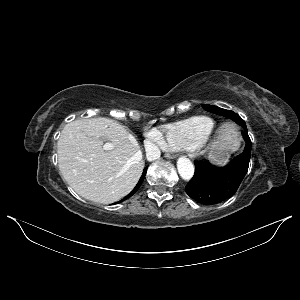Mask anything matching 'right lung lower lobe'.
Instances as JSON below:
<instances>
[{"label": "right lung lower lobe", "mask_w": 300, "mask_h": 300, "mask_svg": "<svg viewBox=\"0 0 300 300\" xmlns=\"http://www.w3.org/2000/svg\"><path fill=\"white\" fill-rule=\"evenodd\" d=\"M146 170H147V167L144 168L143 174H142V176H141L139 182H138L137 185L135 186V188L137 187V190H138V188L141 186V184H142V182H143V180H144V177H145V175H146ZM135 188H134V189H135ZM134 189H133V190H134ZM133 190H132V191H133ZM137 190H136V191H137ZM132 191H131L124 199H127V198L131 197V196L135 193V192L132 193ZM124 199H123V200H124ZM121 201H122V200H121Z\"/></svg>", "instance_id": "right-lung-lower-lobe-1"}]
</instances>
